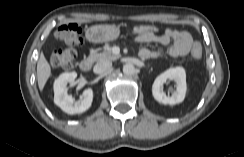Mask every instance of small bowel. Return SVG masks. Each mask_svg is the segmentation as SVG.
<instances>
[{
	"label": "small bowel",
	"instance_id": "small-bowel-1",
	"mask_svg": "<svg viewBox=\"0 0 244 157\" xmlns=\"http://www.w3.org/2000/svg\"><path fill=\"white\" fill-rule=\"evenodd\" d=\"M135 40L138 43H160L162 45H169L168 54L172 57H179L187 55L193 45V39L189 32L181 31L174 28H167L162 34H150L136 36ZM142 59L158 58L161 53L158 50H150L142 48L139 52Z\"/></svg>",
	"mask_w": 244,
	"mask_h": 157
}]
</instances>
